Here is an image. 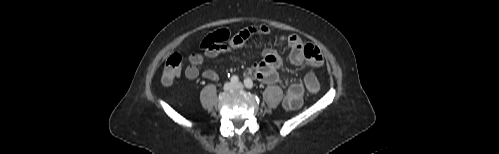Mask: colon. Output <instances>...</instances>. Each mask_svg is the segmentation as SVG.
I'll return each instance as SVG.
<instances>
[{
  "mask_svg": "<svg viewBox=\"0 0 499 154\" xmlns=\"http://www.w3.org/2000/svg\"><path fill=\"white\" fill-rule=\"evenodd\" d=\"M182 67V57L179 53H172L164 63L162 82L165 85H171L180 75ZM304 86L309 93H316L320 88L317 76L309 72L304 77Z\"/></svg>",
  "mask_w": 499,
  "mask_h": 154,
  "instance_id": "1",
  "label": "colon"
}]
</instances>
